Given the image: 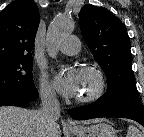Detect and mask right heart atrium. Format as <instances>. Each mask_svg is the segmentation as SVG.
I'll return each instance as SVG.
<instances>
[{"instance_id":"d8ad5b80","label":"right heart atrium","mask_w":144,"mask_h":137,"mask_svg":"<svg viewBox=\"0 0 144 137\" xmlns=\"http://www.w3.org/2000/svg\"><path fill=\"white\" fill-rule=\"evenodd\" d=\"M40 95L44 102L53 104L56 102V93L53 83L44 70L39 72Z\"/></svg>"}]
</instances>
